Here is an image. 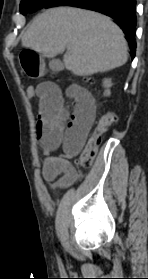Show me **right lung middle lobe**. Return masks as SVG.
<instances>
[{"instance_id":"right-lung-middle-lobe-1","label":"right lung middle lobe","mask_w":148,"mask_h":279,"mask_svg":"<svg viewBox=\"0 0 148 279\" xmlns=\"http://www.w3.org/2000/svg\"><path fill=\"white\" fill-rule=\"evenodd\" d=\"M50 0H22L20 4V12L23 15L33 13L43 8Z\"/></svg>"}]
</instances>
